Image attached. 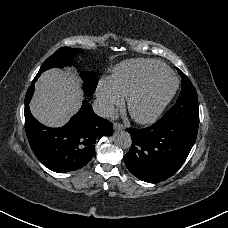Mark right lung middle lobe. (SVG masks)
<instances>
[{
    "label": "right lung middle lobe",
    "instance_id": "dd1d6c3e",
    "mask_svg": "<svg viewBox=\"0 0 228 228\" xmlns=\"http://www.w3.org/2000/svg\"><path fill=\"white\" fill-rule=\"evenodd\" d=\"M77 52H78V49L76 48L62 47L58 49L43 63L37 76H40L42 72L50 68H53V67L62 68L64 66L70 65L72 62V59L77 54ZM80 75L84 80V93L87 96H91L96 89V86L98 83L97 78L91 72H87V71H82Z\"/></svg>",
    "mask_w": 228,
    "mask_h": 228
}]
</instances>
